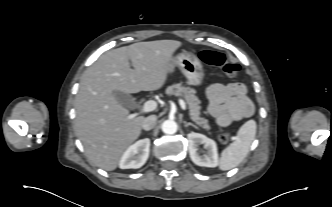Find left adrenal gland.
Returning <instances> with one entry per match:
<instances>
[{
  "label": "left adrenal gland",
  "mask_w": 332,
  "mask_h": 207,
  "mask_svg": "<svg viewBox=\"0 0 332 207\" xmlns=\"http://www.w3.org/2000/svg\"><path fill=\"white\" fill-rule=\"evenodd\" d=\"M184 126L185 127H188V126H193L194 128H197V126L196 125H194L193 123H187V122H184Z\"/></svg>",
  "instance_id": "left-adrenal-gland-1"
}]
</instances>
